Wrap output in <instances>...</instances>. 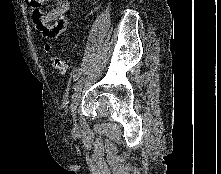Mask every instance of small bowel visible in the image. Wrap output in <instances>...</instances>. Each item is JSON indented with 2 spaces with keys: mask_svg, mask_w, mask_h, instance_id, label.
Masks as SVG:
<instances>
[{
  "mask_svg": "<svg viewBox=\"0 0 221 174\" xmlns=\"http://www.w3.org/2000/svg\"><path fill=\"white\" fill-rule=\"evenodd\" d=\"M31 7V17L36 29L46 39H53L64 33L68 27V0H55L53 9L44 13L42 6L48 0H27Z\"/></svg>",
  "mask_w": 221,
  "mask_h": 174,
  "instance_id": "small-bowel-1",
  "label": "small bowel"
}]
</instances>
